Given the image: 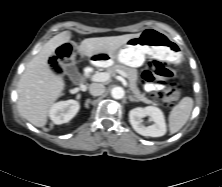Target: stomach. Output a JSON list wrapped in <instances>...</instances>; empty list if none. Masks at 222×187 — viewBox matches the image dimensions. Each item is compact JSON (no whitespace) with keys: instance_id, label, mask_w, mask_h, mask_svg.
I'll return each instance as SVG.
<instances>
[{"instance_id":"0dacf381","label":"stomach","mask_w":222,"mask_h":187,"mask_svg":"<svg viewBox=\"0 0 222 187\" xmlns=\"http://www.w3.org/2000/svg\"><path fill=\"white\" fill-rule=\"evenodd\" d=\"M147 56L174 64H179L183 58L181 47L167 33L147 28L138 37L128 40L113 54L93 55L91 62L95 65H107L111 61H118L130 67H140Z\"/></svg>"}]
</instances>
